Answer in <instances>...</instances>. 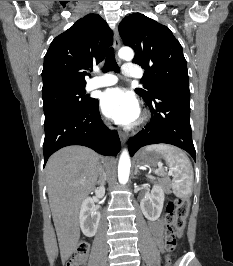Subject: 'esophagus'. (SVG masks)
Returning a JSON list of instances; mask_svg holds the SVG:
<instances>
[{"mask_svg": "<svg viewBox=\"0 0 233 266\" xmlns=\"http://www.w3.org/2000/svg\"><path fill=\"white\" fill-rule=\"evenodd\" d=\"M113 43H114L115 50L118 51V49L120 47V39H119V33H118L117 28H115V30H114ZM117 61L119 63H121V60L119 58H117ZM119 137H120L121 143L125 144L127 141V135L123 132H119Z\"/></svg>", "mask_w": 233, "mask_h": 266, "instance_id": "obj_1", "label": "esophagus"}]
</instances>
